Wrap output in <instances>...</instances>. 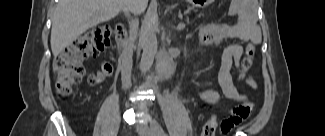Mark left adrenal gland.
I'll return each mask as SVG.
<instances>
[{
	"label": "left adrenal gland",
	"mask_w": 325,
	"mask_h": 136,
	"mask_svg": "<svg viewBox=\"0 0 325 136\" xmlns=\"http://www.w3.org/2000/svg\"><path fill=\"white\" fill-rule=\"evenodd\" d=\"M167 41H168V42L171 41V40H170V33H169V35L167 36Z\"/></svg>",
	"instance_id": "a2214340"
}]
</instances>
